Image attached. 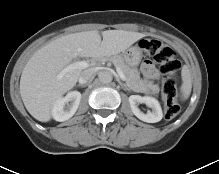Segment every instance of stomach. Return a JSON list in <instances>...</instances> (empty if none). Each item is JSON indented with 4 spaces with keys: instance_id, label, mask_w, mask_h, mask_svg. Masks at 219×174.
Wrapping results in <instances>:
<instances>
[{
    "instance_id": "0dacf381",
    "label": "stomach",
    "mask_w": 219,
    "mask_h": 174,
    "mask_svg": "<svg viewBox=\"0 0 219 174\" xmlns=\"http://www.w3.org/2000/svg\"><path fill=\"white\" fill-rule=\"evenodd\" d=\"M142 48L139 45L130 47L125 53V61L129 66H136L141 62Z\"/></svg>"
}]
</instances>
